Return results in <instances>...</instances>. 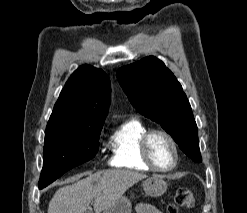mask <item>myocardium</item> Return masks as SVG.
<instances>
[{
	"label": "myocardium",
	"instance_id": "1",
	"mask_svg": "<svg viewBox=\"0 0 247 213\" xmlns=\"http://www.w3.org/2000/svg\"><path fill=\"white\" fill-rule=\"evenodd\" d=\"M155 135H162L164 136L171 144L173 151H174V162L173 164L168 167V168H161L159 167L154 160L152 159L151 153H150V142L153 136ZM140 153L143 161L154 171L157 172H162V173H167L172 170H174L180 159V154H179V148L176 140L174 137L167 131L163 129H151L148 130L141 138L140 141Z\"/></svg>",
	"mask_w": 247,
	"mask_h": 213
}]
</instances>
